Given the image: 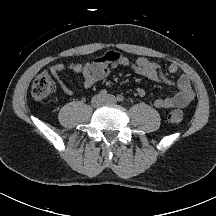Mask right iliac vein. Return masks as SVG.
<instances>
[{
  "instance_id": "63e3f726",
  "label": "right iliac vein",
  "mask_w": 216,
  "mask_h": 216,
  "mask_svg": "<svg viewBox=\"0 0 216 216\" xmlns=\"http://www.w3.org/2000/svg\"><path fill=\"white\" fill-rule=\"evenodd\" d=\"M91 103L94 107H99L104 103V98L101 95H95L92 98Z\"/></svg>"
}]
</instances>
